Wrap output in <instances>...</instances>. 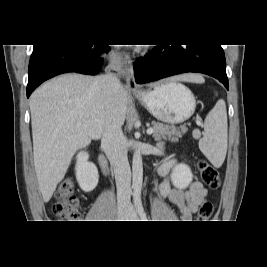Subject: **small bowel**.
I'll list each match as a JSON object with an SVG mask.
<instances>
[{"label": "small bowel", "mask_w": 267, "mask_h": 267, "mask_svg": "<svg viewBox=\"0 0 267 267\" xmlns=\"http://www.w3.org/2000/svg\"><path fill=\"white\" fill-rule=\"evenodd\" d=\"M159 147L162 149L163 145L159 144ZM174 166V159H169L159 166L157 173L163 180L157 185V190L162 198H168L177 206L182 220L189 221L201 203L204 202L207 191L200 182L192 183L188 191L172 188L169 174Z\"/></svg>", "instance_id": "1"}]
</instances>
